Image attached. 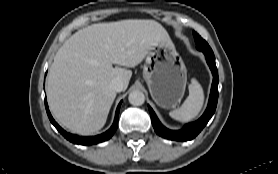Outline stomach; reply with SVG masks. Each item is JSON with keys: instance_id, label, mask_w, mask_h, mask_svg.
I'll list each match as a JSON object with an SVG mask.
<instances>
[{"instance_id": "obj_1", "label": "stomach", "mask_w": 278, "mask_h": 174, "mask_svg": "<svg viewBox=\"0 0 278 174\" xmlns=\"http://www.w3.org/2000/svg\"><path fill=\"white\" fill-rule=\"evenodd\" d=\"M143 78L153 100L162 108H175L181 101L187 83L185 64L173 43L158 42L148 51Z\"/></svg>"}]
</instances>
